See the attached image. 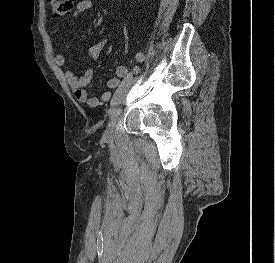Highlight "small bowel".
Here are the masks:
<instances>
[{"mask_svg":"<svg viewBox=\"0 0 275 263\" xmlns=\"http://www.w3.org/2000/svg\"><path fill=\"white\" fill-rule=\"evenodd\" d=\"M93 6L92 0H81L77 6L74 13V17H78L86 12H88ZM110 39L105 38L100 41L95 42L89 48V54L93 59H97L105 46L109 43ZM54 62L60 69L63 70L64 76L70 85L75 98L80 102L87 103L90 107H98L103 103L109 101L112 96V91L105 92L100 98L89 97L85 87L89 85L94 79V70L92 68H87L83 76H78V74L73 70H65V58L62 54H56L54 57ZM129 69L125 65H118L115 68L116 76L107 80L106 85L109 89L115 90L119 89L123 84V79L127 76Z\"/></svg>","mask_w":275,"mask_h":263,"instance_id":"c3829d8e","label":"small bowel"}]
</instances>
